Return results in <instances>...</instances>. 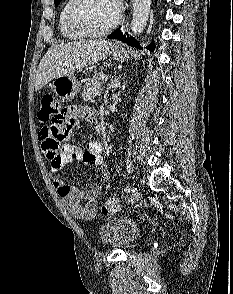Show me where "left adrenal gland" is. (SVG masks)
I'll use <instances>...</instances> for the list:
<instances>
[{
    "instance_id": "left-adrenal-gland-1",
    "label": "left adrenal gland",
    "mask_w": 233,
    "mask_h": 294,
    "mask_svg": "<svg viewBox=\"0 0 233 294\" xmlns=\"http://www.w3.org/2000/svg\"><path fill=\"white\" fill-rule=\"evenodd\" d=\"M121 76L122 75H119V77H116V75H113L111 80H110V83L108 84V87L104 93V101L107 102V95L109 93V90L110 89H115L117 87L120 86L121 84Z\"/></svg>"
}]
</instances>
